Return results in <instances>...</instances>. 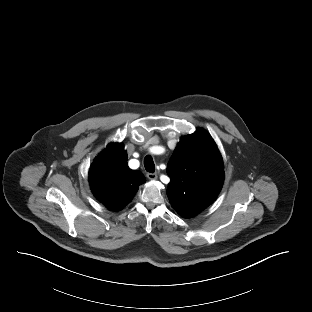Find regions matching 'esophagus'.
I'll use <instances>...</instances> for the list:
<instances>
[{
	"label": "esophagus",
	"instance_id": "esophagus-1",
	"mask_svg": "<svg viewBox=\"0 0 312 312\" xmlns=\"http://www.w3.org/2000/svg\"><path fill=\"white\" fill-rule=\"evenodd\" d=\"M147 177L150 180H156L157 179V174L156 173H147Z\"/></svg>",
	"mask_w": 312,
	"mask_h": 312
}]
</instances>
